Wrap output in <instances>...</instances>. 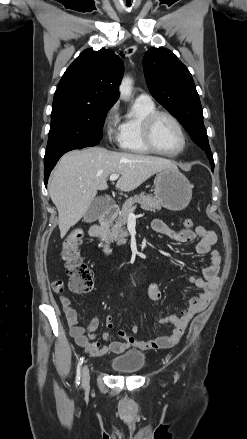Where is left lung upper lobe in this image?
Masks as SVG:
<instances>
[{
	"label": "left lung upper lobe",
	"instance_id": "obj_1",
	"mask_svg": "<svg viewBox=\"0 0 247 439\" xmlns=\"http://www.w3.org/2000/svg\"><path fill=\"white\" fill-rule=\"evenodd\" d=\"M143 69L152 96L185 127L191 139L206 153L214 167L203 112L196 87L186 66L167 49H149Z\"/></svg>",
	"mask_w": 247,
	"mask_h": 439
}]
</instances>
